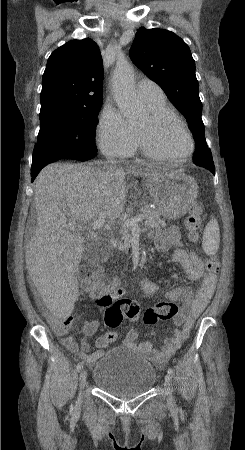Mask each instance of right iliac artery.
<instances>
[{
    "instance_id": "obj_1",
    "label": "right iliac artery",
    "mask_w": 245,
    "mask_h": 450,
    "mask_svg": "<svg viewBox=\"0 0 245 450\" xmlns=\"http://www.w3.org/2000/svg\"><path fill=\"white\" fill-rule=\"evenodd\" d=\"M83 367V362H79L77 364V371L79 372L81 370V368Z\"/></svg>"
}]
</instances>
